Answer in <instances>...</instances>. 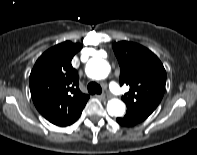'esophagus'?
<instances>
[{
    "label": "esophagus",
    "instance_id": "obj_1",
    "mask_svg": "<svg viewBox=\"0 0 197 155\" xmlns=\"http://www.w3.org/2000/svg\"><path fill=\"white\" fill-rule=\"evenodd\" d=\"M100 98H101L102 100H105V101H106V100H108L110 97H109L108 95H105V94H104V95H101Z\"/></svg>",
    "mask_w": 197,
    "mask_h": 155
}]
</instances>
